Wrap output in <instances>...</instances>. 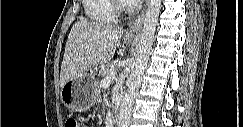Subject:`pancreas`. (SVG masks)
<instances>
[{"label":"pancreas","instance_id":"obj_1","mask_svg":"<svg viewBox=\"0 0 243 127\" xmlns=\"http://www.w3.org/2000/svg\"><path fill=\"white\" fill-rule=\"evenodd\" d=\"M116 62H111L107 64L101 71V75L103 77V80L110 76V73L113 71H116Z\"/></svg>","mask_w":243,"mask_h":127}]
</instances>
